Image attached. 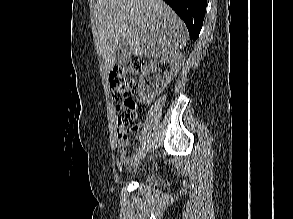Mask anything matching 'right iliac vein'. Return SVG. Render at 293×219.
<instances>
[{
  "label": "right iliac vein",
  "instance_id": "obj_1",
  "mask_svg": "<svg viewBox=\"0 0 293 219\" xmlns=\"http://www.w3.org/2000/svg\"><path fill=\"white\" fill-rule=\"evenodd\" d=\"M146 156V151L142 150L140 151L135 157L134 160L131 163V168L137 167L145 158Z\"/></svg>",
  "mask_w": 293,
  "mask_h": 219
}]
</instances>
